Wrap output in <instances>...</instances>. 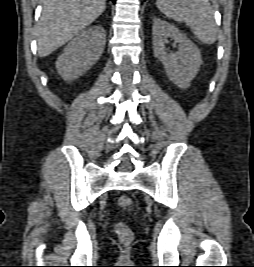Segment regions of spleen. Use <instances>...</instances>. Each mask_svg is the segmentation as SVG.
Masks as SVG:
<instances>
[{"label": "spleen", "instance_id": "spleen-1", "mask_svg": "<svg viewBox=\"0 0 254 267\" xmlns=\"http://www.w3.org/2000/svg\"><path fill=\"white\" fill-rule=\"evenodd\" d=\"M156 4L167 17L184 22L202 43L216 41L217 27L209 0H157Z\"/></svg>", "mask_w": 254, "mask_h": 267}]
</instances>
